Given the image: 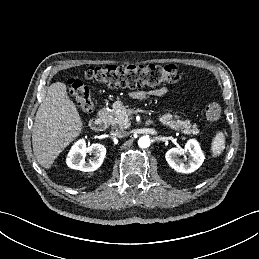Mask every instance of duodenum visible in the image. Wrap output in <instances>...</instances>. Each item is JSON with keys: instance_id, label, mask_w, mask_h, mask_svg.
Wrapping results in <instances>:
<instances>
[{"instance_id": "duodenum-1", "label": "duodenum", "mask_w": 259, "mask_h": 259, "mask_svg": "<svg viewBox=\"0 0 259 259\" xmlns=\"http://www.w3.org/2000/svg\"><path fill=\"white\" fill-rule=\"evenodd\" d=\"M109 124V118L106 113L102 112L90 121V127L94 131H103Z\"/></svg>"}]
</instances>
